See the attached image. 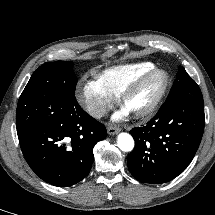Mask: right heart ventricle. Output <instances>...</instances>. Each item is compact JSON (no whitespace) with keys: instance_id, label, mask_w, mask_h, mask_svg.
<instances>
[{"instance_id":"e07e8e85","label":"right heart ventricle","mask_w":215,"mask_h":215,"mask_svg":"<svg viewBox=\"0 0 215 215\" xmlns=\"http://www.w3.org/2000/svg\"><path fill=\"white\" fill-rule=\"evenodd\" d=\"M154 67L151 62H138L105 68L95 78L113 94L120 95L134 79Z\"/></svg>"}]
</instances>
